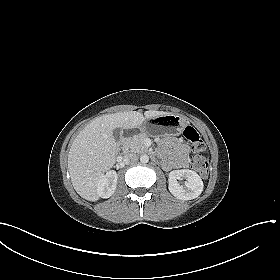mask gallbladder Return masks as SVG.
I'll list each match as a JSON object with an SVG mask.
<instances>
[{
    "mask_svg": "<svg viewBox=\"0 0 280 280\" xmlns=\"http://www.w3.org/2000/svg\"><path fill=\"white\" fill-rule=\"evenodd\" d=\"M113 136H114L116 142H119L120 138H121V129H119V128L114 129Z\"/></svg>",
    "mask_w": 280,
    "mask_h": 280,
    "instance_id": "bac80fb5",
    "label": "gallbladder"
}]
</instances>
